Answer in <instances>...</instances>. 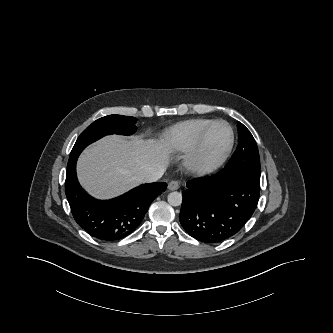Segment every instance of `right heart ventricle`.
<instances>
[{
	"mask_svg": "<svg viewBox=\"0 0 333 333\" xmlns=\"http://www.w3.org/2000/svg\"><path fill=\"white\" fill-rule=\"evenodd\" d=\"M213 119L193 118L179 122L162 134L163 143L174 151L191 149Z\"/></svg>",
	"mask_w": 333,
	"mask_h": 333,
	"instance_id": "e07e8e85",
	"label": "right heart ventricle"
}]
</instances>
